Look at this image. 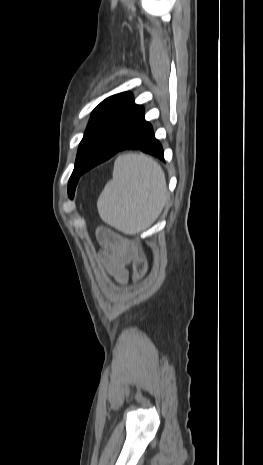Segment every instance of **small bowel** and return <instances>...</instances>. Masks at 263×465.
I'll list each match as a JSON object with an SVG mask.
<instances>
[{
	"label": "small bowel",
	"instance_id": "obj_1",
	"mask_svg": "<svg viewBox=\"0 0 263 465\" xmlns=\"http://www.w3.org/2000/svg\"><path fill=\"white\" fill-rule=\"evenodd\" d=\"M100 238L107 247L108 252L112 255V269L116 279L120 282H124L127 278L125 264L129 259V252L120 248L112 235L107 232L101 233Z\"/></svg>",
	"mask_w": 263,
	"mask_h": 465
}]
</instances>
